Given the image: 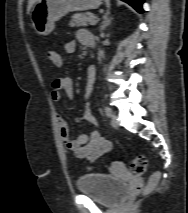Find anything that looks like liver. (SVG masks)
Segmentation results:
<instances>
[{
	"label": "liver",
	"mask_w": 188,
	"mask_h": 213,
	"mask_svg": "<svg viewBox=\"0 0 188 213\" xmlns=\"http://www.w3.org/2000/svg\"><path fill=\"white\" fill-rule=\"evenodd\" d=\"M38 2V0H28V6H27V12H28V14L30 13V11H31V9H32V7H33V5L35 4V3H37Z\"/></svg>",
	"instance_id": "1"
}]
</instances>
